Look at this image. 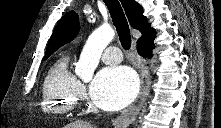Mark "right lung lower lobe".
Segmentation results:
<instances>
[{"label": "right lung lower lobe", "mask_w": 221, "mask_h": 128, "mask_svg": "<svg viewBox=\"0 0 221 128\" xmlns=\"http://www.w3.org/2000/svg\"><path fill=\"white\" fill-rule=\"evenodd\" d=\"M154 40L152 41H138L137 48L139 54L144 58L152 55L151 50L154 48Z\"/></svg>", "instance_id": "98d812e1"}]
</instances>
